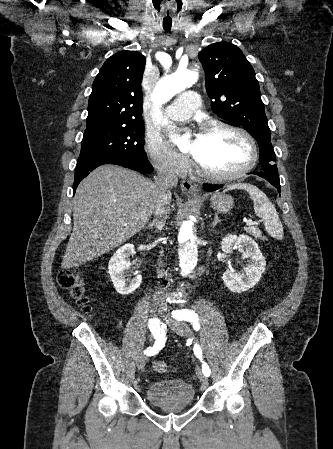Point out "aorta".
<instances>
[{
    "label": "aorta",
    "mask_w": 333,
    "mask_h": 449,
    "mask_svg": "<svg viewBox=\"0 0 333 449\" xmlns=\"http://www.w3.org/2000/svg\"><path fill=\"white\" fill-rule=\"evenodd\" d=\"M197 67L198 64L190 60L186 70L165 75L156 84L153 90V111L158 121H166L161 115L164 105L177 93L197 81ZM189 146L187 141L180 140L179 148L181 151L188 149ZM176 239L178 242L179 266L182 274L188 275L198 262V238L196 228L190 220L184 221L177 228Z\"/></svg>",
    "instance_id": "762f6f07"
}]
</instances>
